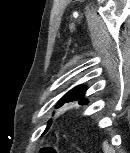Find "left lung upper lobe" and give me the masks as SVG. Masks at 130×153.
Segmentation results:
<instances>
[{
    "label": "left lung upper lobe",
    "mask_w": 130,
    "mask_h": 153,
    "mask_svg": "<svg viewBox=\"0 0 130 153\" xmlns=\"http://www.w3.org/2000/svg\"><path fill=\"white\" fill-rule=\"evenodd\" d=\"M85 93V88L83 86H77L74 89H72L71 91H69L67 94H65L59 102V106H61L62 104L69 102L71 100L77 99V100H83L86 102L85 99L83 98V95ZM51 125V121L48 123L47 129L49 128V126ZM46 129V130H47Z\"/></svg>",
    "instance_id": "5c2ea615"
}]
</instances>
